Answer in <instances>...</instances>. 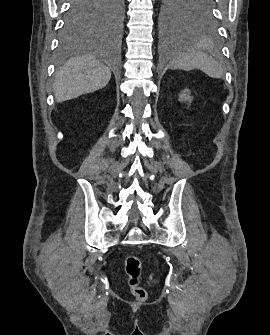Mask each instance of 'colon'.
<instances>
[{"instance_id":"5ec220e1","label":"colon","mask_w":270,"mask_h":335,"mask_svg":"<svg viewBox=\"0 0 270 335\" xmlns=\"http://www.w3.org/2000/svg\"><path fill=\"white\" fill-rule=\"evenodd\" d=\"M124 270L127 276V284L131 293L137 299H145L147 291L142 285V261L136 255H127L124 260Z\"/></svg>"}]
</instances>
